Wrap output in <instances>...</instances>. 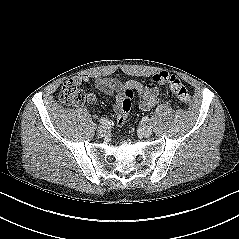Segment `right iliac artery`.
<instances>
[{
  "label": "right iliac artery",
  "mask_w": 239,
  "mask_h": 239,
  "mask_svg": "<svg viewBox=\"0 0 239 239\" xmlns=\"http://www.w3.org/2000/svg\"><path fill=\"white\" fill-rule=\"evenodd\" d=\"M100 123L102 124V125H110V122L107 120V119H105V118H103V119H100Z\"/></svg>",
  "instance_id": "right-iliac-artery-1"
}]
</instances>
